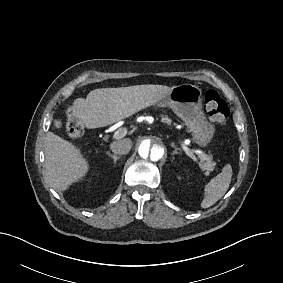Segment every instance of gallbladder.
Instances as JSON below:
<instances>
[{"label":"gallbladder","instance_id":"1","mask_svg":"<svg viewBox=\"0 0 283 283\" xmlns=\"http://www.w3.org/2000/svg\"><path fill=\"white\" fill-rule=\"evenodd\" d=\"M53 126L56 128V129H59L62 127V122L59 120V119H54L53 120Z\"/></svg>","mask_w":283,"mask_h":283}]
</instances>
